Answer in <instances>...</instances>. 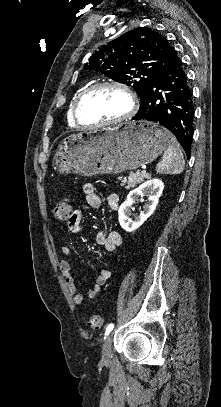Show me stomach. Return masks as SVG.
Listing matches in <instances>:
<instances>
[{
    "label": "stomach",
    "mask_w": 221,
    "mask_h": 407,
    "mask_svg": "<svg viewBox=\"0 0 221 407\" xmlns=\"http://www.w3.org/2000/svg\"><path fill=\"white\" fill-rule=\"evenodd\" d=\"M170 133L149 121H132L64 138L54 161L60 174H118L153 162L168 146Z\"/></svg>",
    "instance_id": "0dacf381"
}]
</instances>
